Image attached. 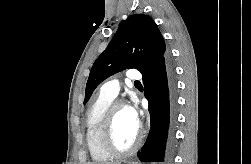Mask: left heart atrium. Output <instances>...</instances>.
Segmentation results:
<instances>
[{"label":"left heart atrium","instance_id":"obj_1","mask_svg":"<svg viewBox=\"0 0 251 164\" xmlns=\"http://www.w3.org/2000/svg\"><path fill=\"white\" fill-rule=\"evenodd\" d=\"M128 117L130 119V121L136 126L138 127L139 124V119H138V111L135 105H128L125 107Z\"/></svg>","mask_w":251,"mask_h":164}]
</instances>
